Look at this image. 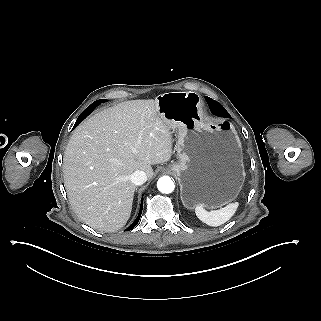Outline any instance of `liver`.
<instances>
[{
    "label": "liver",
    "instance_id": "obj_1",
    "mask_svg": "<svg viewBox=\"0 0 321 321\" xmlns=\"http://www.w3.org/2000/svg\"><path fill=\"white\" fill-rule=\"evenodd\" d=\"M171 124L156 101L130 100L106 108L82 122L64 153V185L73 211L87 225L115 232L128 221L136 189L130 175L168 161Z\"/></svg>",
    "mask_w": 321,
    "mask_h": 321
}]
</instances>
